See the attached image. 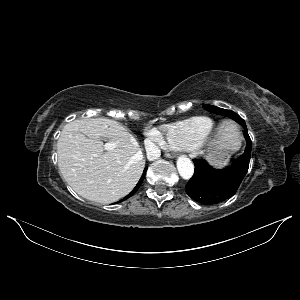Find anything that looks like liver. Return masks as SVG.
<instances>
[{"label": "liver", "instance_id": "6515ba94", "mask_svg": "<svg viewBox=\"0 0 300 300\" xmlns=\"http://www.w3.org/2000/svg\"><path fill=\"white\" fill-rule=\"evenodd\" d=\"M102 140L116 144L104 150ZM213 147L234 144L228 128L218 131ZM58 166L64 180L88 200L110 204L129 194L139 181L145 161L140 145L124 126L107 118L75 120L57 142Z\"/></svg>", "mask_w": 300, "mask_h": 300}]
</instances>
